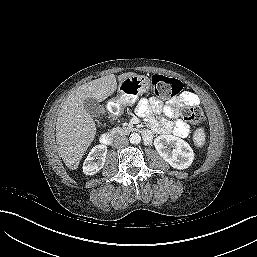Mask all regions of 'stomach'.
Listing matches in <instances>:
<instances>
[{
  "label": "stomach",
  "instance_id": "0dacf381",
  "mask_svg": "<svg viewBox=\"0 0 257 257\" xmlns=\"http://www.w3.org/2000/svg\"><path fill=\"white\" fill-rule=\"evenodd\" d=\"M150 80L143 75H133L120 82L118 87V101L124 105L133 104L136 99L148 92Z\"/></svg>",
  "mask_w": 257,
  "mask_h": 257
}]
</instances>
